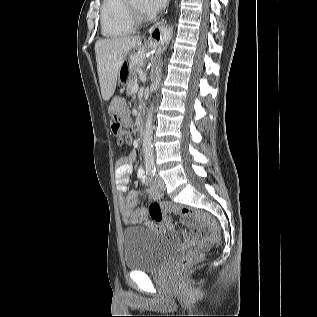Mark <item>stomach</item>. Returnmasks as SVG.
<instances>
[{
	"instance_id": "obj_1",
	"label": "stomach",
	"mask_w": 317,
	"mask_h": 317,
	"mask_svg": "<svg viewBox=\"0 0 317 317\" xmlns=\"http://www.w3.org/2000/svg\"><path fill=\"white\" fill-rule=\"evenodd\" d=\"M143 55H123V65L117 69L116 78L114 82V90L117 94H129L126 91L130 83V77L134 72H138V66H142Z\"/></svg>"
}]
</instances>
